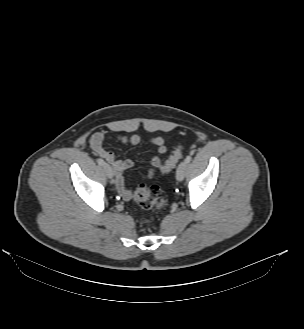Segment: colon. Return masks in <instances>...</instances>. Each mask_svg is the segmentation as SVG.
Here are the masks:
<instances>
[{"instance_id": "obj_1", "label": "colon", "mask_w": 304, "mask_h": 329, "mask_svg": "<svg viewBox=\"0 0 304 329\" xmlns=\"http://www.w3.org/2000/svg\"><path fill=\"white\" fill-rule=\"evenodd\" d=\"M183 155L182 146L178 145L173 148L170 157L164 164L157 167L161 173H168L175 168ZM133 200L144 210L156 209L162 210L168 206L169 199L162 194L158 186H148L139 184L134 192Z\"/></svg>"}]
</instances>
